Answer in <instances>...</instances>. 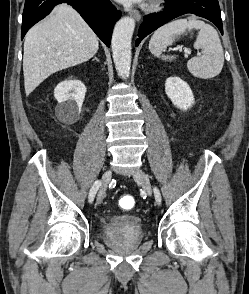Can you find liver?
<instances>
[{"label":"liver","instance_id":"6515ba94","mask_svg":"<svg viewBox=\"0 0 249 294\" xmlns=\"http://www.w3.org/2000/svg\"><path fill=\"white\" fill-rule=\"evenodd\" d=\"M98 38L69 5L56 6L47 19L33 26L24 41L23 73L26 95L47 77L91 59Z\"/></svg>","mask_w":249,"mask_h":294}]
</instances>
